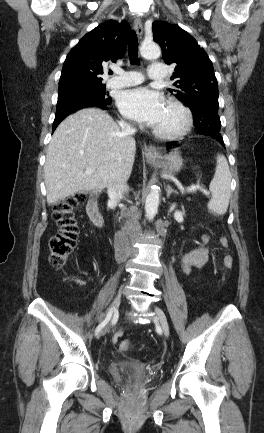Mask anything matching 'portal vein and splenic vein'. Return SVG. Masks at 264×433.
I'll return each mask as SVG.
<instances>
[{
	"mask_svg": "<svg viewBox=\"0 0 264 433\" xmlns=\"http://www.w3.org/2000/svg\"><path fill=\"white\" fill-rule=\"evenodd\" d=\"M92 172H93L92 169H86L85 175L91 174ZM179 189H180L181 192L193 193V192H196L197 190H201L205 195L209 194L206 190H204L199 185H192V186H190V187H188L186 189L183 188V187H179Z\"/></svg>",
	"mask_w": 264,
	"mask_h": 433,
	"instance_id": "18ae733b",
	"label": "portal vein and splenic vein"
}]
</instances>
